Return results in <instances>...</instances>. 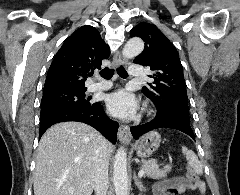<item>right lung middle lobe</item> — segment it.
I'll list each match as a JSON object with an SVG mask.
<instances>
[{"mask_svg": "<svg viewBox=\"0 0 240 195\" xmlns=\"http://www.w3.org/2000/svg\"><path fill=\"white\" fill-rule=\"evenodd\" d=\"M85 91L86 89H76L43 95L41 111L58 106H90L93 103L85 99Z\"/></svg>", "mask_w": 240, "mask_h": 195, "instance_id": "obj_1", "label": "right lung middle lobe"}]
</instances>
